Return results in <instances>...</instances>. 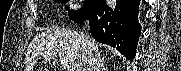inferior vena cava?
I'll return each instance as SVG.
<instances>
[{"instance_id":"1","label":"inferior vena cava","mask_w":181,"mask_h":71,"mask_svg":"<svg viewBox=\"0 0 181 71\" xmlns=\"http://www.w3.org/2000/svg\"><path fill=\"white\" fill-rule=\"evenodd\" d=\"M80 35L87 55L86 67L84 71H100L101 58L95 42L82 32L80 33Z\"/></svg>"}]
</instances>
